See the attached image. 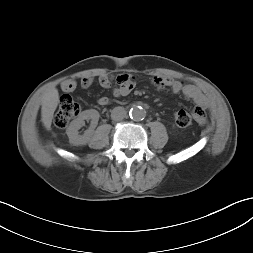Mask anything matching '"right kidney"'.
<instances>
[{"label": "right kidney", "mask_w": 253, "mask_h": 253, "mask_svg": "<svg viewBox=\"0 0 253 253\" xmlns=\"http://www.w3.org/2000/svg\"><path fill=\"white\" fill-rule=\"evenodd\" d=\"M84 120H91V127L79 135L78 130L84 125ZM99 120V113L95 109L83 111L77 119L73 120L66 130L69 142L72 145H86L93 134L94 128L97 126Z\"/></svg>", "instance_id": "right-kidney-1"}]
</instances>
